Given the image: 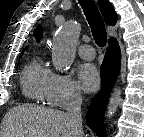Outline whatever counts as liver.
Here are the masks:
<instances>
[{
  "label": "liver",
  "mask_w": 144,
  "mask_h": 137,
  "mask_svg": "<svg viewBox=\"0 0 144 137\" xmlns=\"http://www.w3.org/2000/svg\"><path fill=\"white\" fill-rule=\"evenodd\" d=\"M68 114L32 104L13 107L5 114L0 137H77Z\"/></svg>",
  "instance_id": "6515ba94"
}]
</instances>
